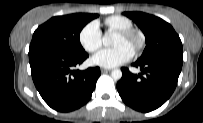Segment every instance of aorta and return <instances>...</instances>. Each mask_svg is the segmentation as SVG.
I'll return each instance as SVG.
<instances>
[{
	"instance_id": "obj_1",
	"label": "aorta",
	"mask_w": 203,
	"mask_h": 123,
	"mask_svg": "<svg viewBox=\"0 0 203 123\" xmlns=\"http://www.w3.org/2000/svg\"><path fill=\"white\" fill-rule=\"evenodd\" d=\"M111 42H112V37H111V35L105 34V35L103 36V44H104L105 46H108V45L111 44ZM111 76H112V78H113L114 80H120L121 77H122V71H121L120 69H114V70L111 72Z\"/></svg>"
}]
</instances>
